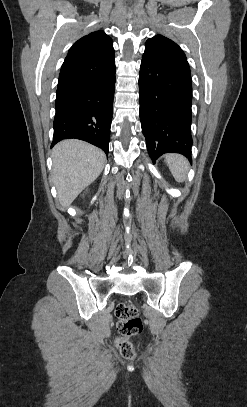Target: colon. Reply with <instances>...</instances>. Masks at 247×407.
Returning a JSON list of instances; mask_svg holds the SVG:
<instances>
[{"label": "colon", "mask_w": 247, "mask_h": 407, "mask_svg": "<svg viewBox=\"0 0 247 407\" xmlns=\"http://www.w3.org/2000/svg\"><path fill=\"white\" fill-rule=\"evenodd\" d=\"M116 316L119 334L116 339V346L124 358L131 359L134 357L135 351L130 338L142 332L143 322L138 316V309L134 304H119L116 308Z\"/></svg>", "instance_id": "colon-1"}]
</instances>
